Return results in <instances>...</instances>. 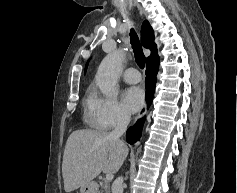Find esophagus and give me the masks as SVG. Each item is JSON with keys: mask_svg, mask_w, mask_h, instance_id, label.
Returning a JSON list of instances; mask_svg holds the SVG:
<instances>
[{"mask_svg": "<svg viewBox=\"0 0 237 193\" xmlns=\"http://www.w3.org/2000/svg\"><path fill=\"white\" fill-rule=\"evenodd\" d=\"M146 112H147V104L145 103L142 106L138 116L136 117L135 122L138 121L139 119H141L146 114Z\"/></svg>", "mask_w": 237, "mask_h": 193, "instance_id": "obj_1", "label": "esophagus"}]
</instances>
